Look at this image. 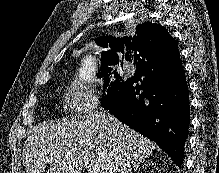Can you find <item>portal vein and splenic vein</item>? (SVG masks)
<instances>
[{"instance_id": "obj_1", "label": "portal vein and splenic vein", "mask_w": 219, "mask_h": 173, "mask_svg": "<svg viewBox=\"0 0 219 173\" xmlns=\"http://www.w3.org/2000/svg\"><path fill=\"white\" fill-rule=\"evenodd\" d=\"M88 172H89V173H94V171H92V170H88Z\"/></svg>"}]
</instances>
